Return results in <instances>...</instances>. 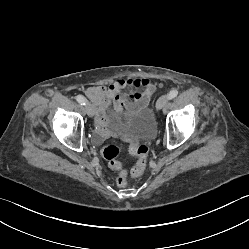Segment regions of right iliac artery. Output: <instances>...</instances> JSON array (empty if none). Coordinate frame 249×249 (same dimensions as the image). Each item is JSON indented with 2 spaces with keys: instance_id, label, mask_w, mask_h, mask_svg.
Wrapping results in <instances>:
<instances>
[{
  "instance_id": "right-iliac-artery-1",
  "label": "right iliac artery",
  "mask_w": 249,
  "mask_h": 249,
  "mask_svg": "<svg viewBox=\"0 0 249 249\" xmlns=\"http://www.w3.org/2000/svg\"><path fill=\"white\" fill-rule=\"evenodd\" d=\"M76 100H77V102L80 103L81 105H85V104H86V99H85V97L82 96V95H78V96L76 97Z\"/></svg>"
}]
</instances>
